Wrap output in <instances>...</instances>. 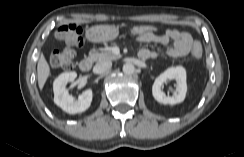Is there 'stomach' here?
Returning a JSON list of instances; mask_svg holds the SVG:
<instances>
[{
	"label": "stomach",
	"mask_w": 244,
	"mask_h": 157,
	"mask_svg": "<svg viewBox=\"0 0 244 157\" xmlns=\"http://www.w3.org/2000/svg\"><path fill=\"white\" fill-rule=\"evenodd\" d=\"M119 30L111 25H96L86 31V37L91 42H106L117 38Z\"/></svg>",
	"instance_id": "1"
}]
</instances>
